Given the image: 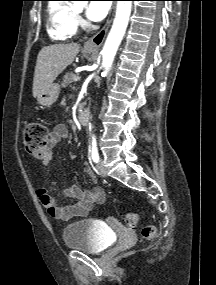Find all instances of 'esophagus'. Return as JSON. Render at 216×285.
<instances>
[{"instance_id":"obj_1","label":"esophagus","mask_w":216,"mask_h":285,"mask_svg":"<svg viewBox=\"0 0 216 285\" xmlns=\"http://www.w3.org/2000/svg\"><path fill=\"white\" fill-rule=\"evenodd\" d=\"M114 10H115V6L112 5L106 23L100 29V31H98L94 36H92L89 40L86 41V43L84 44V49L94 50V49L99 48L102 45L106 37V34L108 32V29L110 27V24L112 22Z\"/></svg>"}]
</instances>
